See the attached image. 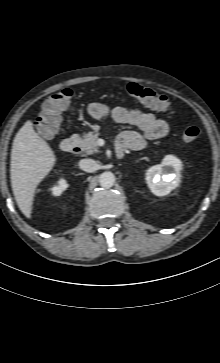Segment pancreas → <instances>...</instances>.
<instances>
[{
	"label": "pancreas",
	"instance_id": "obj_1",
	"mask_svg": "<svg viewBox=\"0 0 220 363\" xmlns=\"http://www.w3.org/2000/svg\"><path fill=\"white\" fill-rule=\"evenodd\" d=\"M99 135L100 134L97 130L91 131L88 134L83 135L80 139V147L82 151L87 154L97 153L99 151L97 145V139Z\"/></svg>",
	"mask_w": 220,
	"mask_h": 363
}]
</instances>
